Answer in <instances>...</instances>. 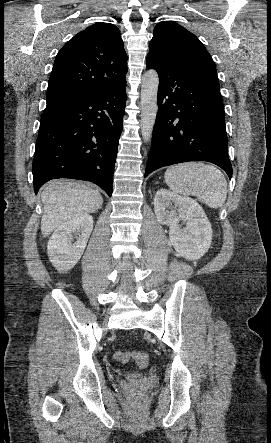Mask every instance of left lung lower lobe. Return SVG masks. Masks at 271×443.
<instances>
[{"label":"left lung lower lobe","mask_w":271,"mask_h":443,"mask_svg":"<svg viewBox=\"0 0 271 443\" xmlns=\"http://www.w3.org/2000/svg\"><path fill=\"white\" fill-rule=\"evenodd\" d=\"M159 74L156 117L145 177L177 163L208 161L231 179L224 105L217 73L148 55Z\"/></svg>","instance_id":"obj_1"}]
</instances>
